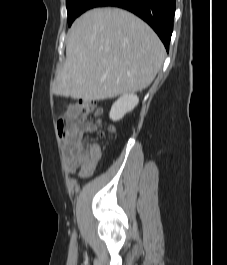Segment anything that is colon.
<instances>
[{
	"instance_id": "colon-1",
	"label": "colon",
	"mask_w": 227,
	"mask_h": 265,
	"mask_svg": "<svg viewBox=\"0 0 227 265\" xmlns=\"http://www.w3.org/2000/svg\"><path fill=\"white\" fill-rule=\"evenodd\" d=\"M78 111L83 119L89 118L91 115L99 117L102 114V109L98 107L96 101H83L78 104ZM58 132L62 140L67 136L69 130V121L66 118H61L58 121ZM114 128L112 126L106 127L104 130L100 131V136H104L106 133L113 132Z\"/></svg>"
}]
</instances>
